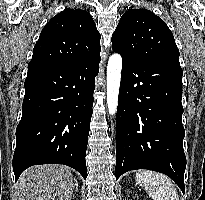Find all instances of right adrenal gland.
I'll return each mask as SVG.
<instances>
[{
	"label": "right adrenal gland",
	"mask_w": 205,
	"mask_h": 200,
	"mask_svg": "<svg viewBox=\"0 0 205 200\" xmlns=\"http://www.w3.org/2000/svg\"><path fill=\"white\" fill-rule=\"evenodd\" d=\"M75 190L78 191V182L76 179H75Z\"/></svg>",
	"instance_id": "obj_1"
}]
</instances>
